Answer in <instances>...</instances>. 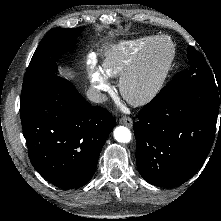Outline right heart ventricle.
<instances>
[{
	"label": "right heart ventricle",
	"instance_id": "e07e8e85",
	"mask_svg": "<svg viewBox=\"0 0 221 221\" xmlns=\"http://www.w3.org/2000/svg\"><path fill=\"white\" fill-rule=\"evenodd\" d=\"M156 36H144L113 46L105 55L102 72L107 77L123 76L142 58L145 50Z\"/></svg>",
	"mask_w": 221,
	"mask_h": 221
}]
</instances>
